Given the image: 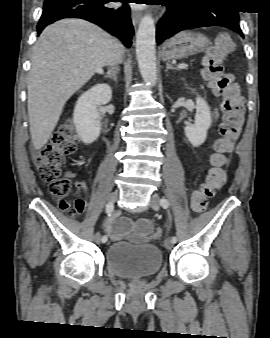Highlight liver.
Instances as JSON below:
<instances>
[{"label": "liver", "mask_w": 270, "mask_h": 338, "mask_svg": "<svg viewBox=\"0 0 270 338\" xmlns=\"http://www.w3.org/2000/svg\"><path fill=\"white\" fill-rule=\"evenodd\" d=\"M119 51H123L119 41L82 19H63L43 30L33 47L27 87L36 150L50 139L70 97Z\"/></svg>", "instance_id": "1"}]
</instances>
